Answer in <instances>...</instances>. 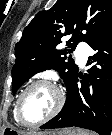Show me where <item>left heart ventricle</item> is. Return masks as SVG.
Instances as JSON below:
<instances>
[{
	"label": "left heart ventricle",
	"instance_id": "obj_1",
	"mask_svg": "<svg viewBox=\"0 0 112 135\" xmlns=\"http://www.w3.org/2000/svg\"><path fill=\"white\" fill-rule=\"evenodd\" d=\"M58 95L48 85L31 88L23 99V113L29 120H39L47 116L56 106Z\"/></svg>",
	"mask_w": 112,
	"mask_h": 135
}]
</instances>
